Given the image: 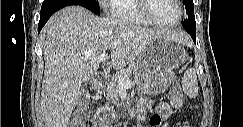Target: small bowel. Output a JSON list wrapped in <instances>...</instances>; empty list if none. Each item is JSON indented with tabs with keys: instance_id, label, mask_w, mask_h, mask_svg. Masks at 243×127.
Instances as JSON below:
<instances>
[{
	"instance_id": "1",
	"label": "small bowel",
	"mask_w": 243,
	"mask_h": 127,
	"mask_svg": "<svg viewBox=\"0 0 243 127\" xmlns=\"http://www.w3.org/2000/svg\"><path fill=\"white\" fill-rule=\"evenodd\" d=\"M185 108L184 98H170V103H159L155 107V114L150 119L151 126H162L164 125L171 117L173 113V109L183 110ZM186 126H189L186 124ZM93 127H102L98 126L97 123L93 125Z\"/></svg>"
}]
</instances>
